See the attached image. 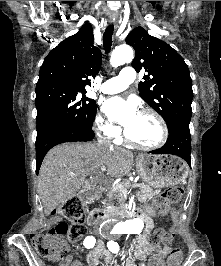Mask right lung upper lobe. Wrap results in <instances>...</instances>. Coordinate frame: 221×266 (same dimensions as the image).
<instances>
[{
    "label": "right lung upper lobe",
    "mask_w": 221,
    "mask_h": 266,
    "mask_svg": "<svg viewBox=\"0 0 221 266\" xmlns=\"http://www.w3.org/2000/svg\"><path fill=\"white\" fill-rule=\"evenodd\" d=\"M92 26L85 23L79 31L63 40L44 59L36 89L64 87L85 90L102 64L100 50L93 46Z\"/></svg>",
    "instance_id": "1"
}]
</instances>
